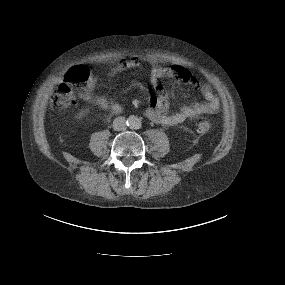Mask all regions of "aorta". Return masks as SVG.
<instances>
[{"instance_id": "762f6f07", "label": "aorta", "mask_w": 285, "mask_h": 285, "mask_svg": "<svg viewBox=\"0 0 285 285\" xmlns=\"http://www.w3.org/2000/svg\"><path fill=\"white\" fill-rule=\"evenodd\" d=\"M127 125L131 129H139L141 127V121L137 116L131 115L127 119Z\"/></svg>"}]
</instances>
